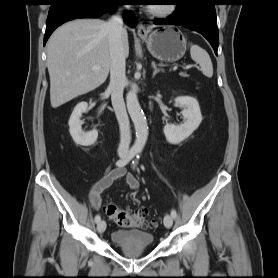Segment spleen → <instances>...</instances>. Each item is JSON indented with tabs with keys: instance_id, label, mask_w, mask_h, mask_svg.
<instances>
[{
	"instance_id": "1",
	"label": "spleen",
	"mask_w": 278,
	"mask_h": 278,
	"mask_svg": "<svg viewBox=\"0 0 278 278\" xmlns=\"http://www.w3.org/2000/svg\"><path fill=\"white\" fill-rule=\"evenodd\" d=\"M190 54L191 58L200 65L202 73L211 78L213 76V66L209 54L198 45H191Z\"/></svg>"
}]
</instances>
